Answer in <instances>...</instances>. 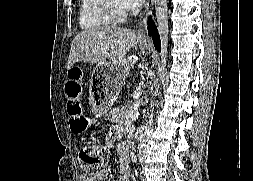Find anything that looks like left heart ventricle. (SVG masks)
I'll list each match as a JSON object with an SVG mask.
<instances>
[{"label": "left heart ventricle", "mask_w": 253, "mask_h": 181, "mask_svg": "<svg viewBox=\"0 0 253 181\" xmlns=\"http://www.w3.org/2000/svg\"><path fill=\"white\" fill-rule=\"evenodd\" d=\"M115 3L117 5V7L121 10H126V8L123 5V1L122 0H115Z\"/></svg>", "instance_id": "1"}]
</instances>
